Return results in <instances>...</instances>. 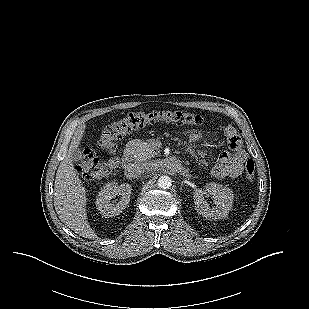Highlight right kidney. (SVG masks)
<instances>
[{"label":"right kidney","instance_id":"obj_1","mask_svg":"<svg viewBox=\"0 0 309 309\" xmlns=\"http://www.w3.org/2000/svg\"><path fill=\"white\" fill-rule=\"evenodd\" d=\"M132 187L127 183L120 186L116 182L107 183L98 193L96 200L97 209L104 217H115L124 210L129 201ZM121 196L117 204H112L111 200L116 196Z\"/></svg>","mask_w":309,"mask_h":309}]
</instances>
